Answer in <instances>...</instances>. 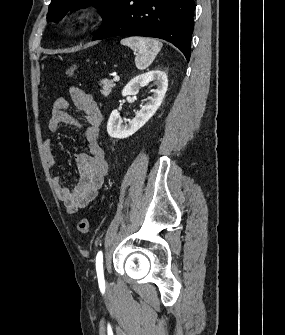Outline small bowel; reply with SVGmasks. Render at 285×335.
<instances>
[{"label":"small bowel","instance_id":"obj_1","mask_svg":"<svg viewBox=\"0 0 285 335\" xmlns=\"http://www.w3.org/2000/svg\"><path fill=\"white\" fill-rule=\"evenodd\" d=\"M70 97L74 106L83 112L84 122L69 112L70 104L66 98L58 97L52 104L48 130L51 133H56L63 125H72L84 130L89 153L75 155L79 172L77 183L71 187H66L63 185L60 176L52 179L58 199L63 202L69 214H74L96 198L108 173V161L99 144L102 114L97 103L90 94L77 87L70 88ZM43 147L48 166L54 167L56 154L52 140L47 139Z\"/></svg>","mask_w":285,"mask_h":335}]
</instances>
